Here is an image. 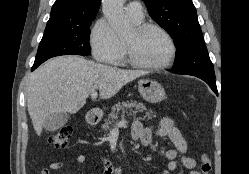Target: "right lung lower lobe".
Segmentation results:
<instances>
[{
  "instance_id": "obj_1",
  "label": "right lung lower lobe",
  "mask_w": 249,
  "mask_h": 174,
  "mask_svg": "<svg viewBox=\"0 0 249 174\" xmlns=\"http://www.w3.org/2000/svg\"><path fill=\"white\" fill-rule=\"evenodd\" d=\"M39 65H40L39 63H38V64H35V63H34V65H33V67H32V71H33L34 69H36Z\"/></svg>"
}]
</instances>
